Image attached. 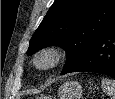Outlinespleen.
<instances>
[{
	"instance_id": "3e777b00",
	"label": "spleen",
	"mask_w": 115,
	"mask_h": 99,
	"mask_svg": "<svg viewBox=\"0 0 115 99\" xmlns=\"http://www.w3.org/2000/svg\"><path fill=\"white\" fill-rule=\"evenodd\" d=\"M101 83L103 92L110 96L111 99H115V80L103 78Z\"/></svg>"
}]
</instances>
